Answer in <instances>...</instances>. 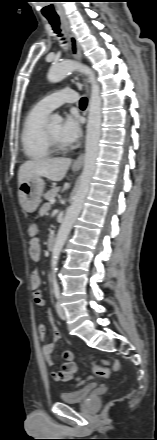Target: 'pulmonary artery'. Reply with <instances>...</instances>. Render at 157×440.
<instances>
[{"label":"pulmonary artery","mask_w":157,"mask_h":440,"mask_svg":"<svg viewBox=\"0 0 157 440\" xmlns=\"http://www.w3.org/2000/svg\"><path fill=\"white\" fill-rule=\"evenodd\" d=\"M77 99L78 95L75 91L70 89H63L45 96L36 104V108L46 114H49L54 109L60 107L62 104L74 103L77 101Z\"/></svg>","instance_id":"e3ab8cb5"}]
</instances>
